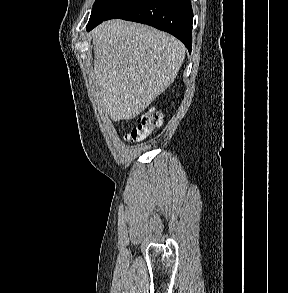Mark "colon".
<instances>
[{
    "mask_svg": "<svg viewBox=\"0 0 288 293\" xmlns=\"http://www.w3.org/2000/svg\"><path fill=\"white\" fill-rule=\"evenodd\" d=\"M161 122V115L154 110H149L137 118L136 125L126 134L125 139L130 142L141 141L158 128Z\"/></svg>",
    "mask_w": 288,
    "mask_h": 293,
    "instance_id": "obj_1",
    "label": "colon"
}]
</instances>
